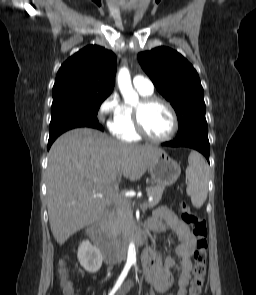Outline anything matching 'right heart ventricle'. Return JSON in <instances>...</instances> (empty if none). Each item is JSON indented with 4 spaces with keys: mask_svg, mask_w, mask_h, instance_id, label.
<instances>
[{
    "mask_svg": "<svg viewBox=\"0 0 256 295\" xmlns=\"http://www.w3.org/2000/svg\"><path fill=\"white\" fill-rule=\"evenodd\" d=\"M138 91V90H137ZM142 97L150 96L152 93H144L138 91ZM113 134L125 141L136 142L140 140V136L136 133L133 123V108L127 104L122 105V122L112 130Z\"/></svg>",
    "mask_w": 256,
    "mask_h": 295,
    "instance_id": "e07e8e85",
    "label": "right heart ventricle"
}]
</instances>
